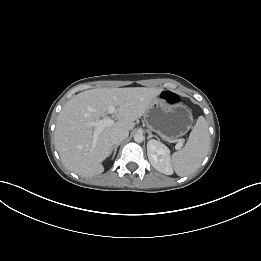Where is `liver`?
<instances>
[{
  "label": "liver",
  "instance_id": "liver-1",
  "mask_svg": "<svg viewBox=\"0 0 261 261\" xmlns=\"http://www.w3.org/2000/svg\"><path fill=\"white\" fill-rule=\"evenodd\" d=\"M162 92L159 88H98L75 95L62 108L57 117L55 147L70 171L86 178L104 171L102 162L110 156L114 131H130L135 120L142 117L151 102ZM114 106L117 122L105 127L94 144L93 126L88 123L99 120Z\"/></svg>",
  "mask_w": 261,
  "mask_h": 261
}]
</instances>
